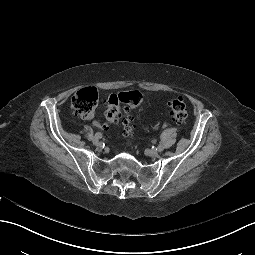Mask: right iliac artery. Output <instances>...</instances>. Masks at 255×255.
I'll return each instance as SVG.
<instances>
[{"mask_svg": "<svg viewBox=\"0 0 255 255\" xmlns=\"http://www.w3.org/2000/svg\"><path fill=\"white\" fill-rule=\"evenodd\" d=\"M95 137L101 138V137H102V134H101L100 132H97V133L95 134Z\"/></svg>", "mask_w": 255, "mask_h": 255, "instance_id": "obj_1", "label": "right iliac artery"}]
</instances>
